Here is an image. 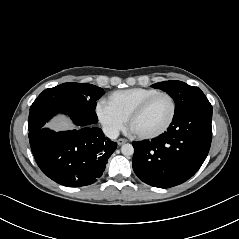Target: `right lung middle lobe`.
I'll use <instances>...</instances> for the list:
<instances>
[{
  "label": "right lung middle lobe",
  "mask_w": 239,
  "mask_h": 239,
  "mask_svg": "<svg viewBox=\"0 0 239 239\" xmlns=\"http://www.w3.org/2000/svg\"><path fill=\"white\" fill-rule=\"evenodd\" d=\"M104 91L86 83H64L44 90L31 105L28 130L41 126L59 112L85 122L95 123L96 101Z\"/></svg>",
  "instance_id": "dd1d6c3e"
}]
</instances>
